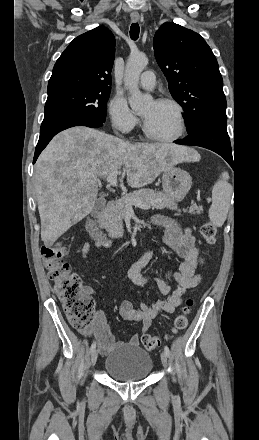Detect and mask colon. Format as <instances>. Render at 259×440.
<instances>
[{"mask_svg":"<svg viewBox=\"0 0 259 440\" xmlns=\"http://www.w3.org/2000/svg\"><path fill=\"white\" fill-rule=\"evenodd\" d=\"M201 234L207 244L216 241L217 229L209 221L201 226ZM68 250L61 243L43 246L41 255L49 278L54 282V289L63 304L69 322L78 329H86L94 317L95 305L92 298L83 289L80 277L71 271L66 262ZM192 299L186 301L182 312L175 318L172 333L184 330L188 325V315ZM142 343L147 350L160 347L161 339L158 336L143 335Z\"/></svg>","mask_w":259,"mask_h":440,"instance_id":"obj_1","label":"colon"}]
</instances>
